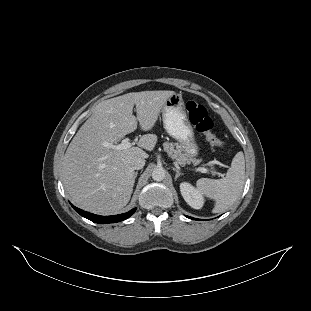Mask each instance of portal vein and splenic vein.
Wrapping results in <instances>:
<instances>
[{"mask_svg":"<svg viewBox=\"0 0 311 311\" xmlns=\"http://www.w3.org/2000/svg\"><path fill=\"white\" fill-rule=\"evenodd\" d=\"M120 146L123 149H127L128 147H130V139L129 138L123 139ZM197 170L205 174L211 172V170H209L208 168H202V167H198Z\"/></svg>","mask_w":311,"mask_h":311,"instance_id":"1","label":"portal vein and splenic vein"}]
</instances>
